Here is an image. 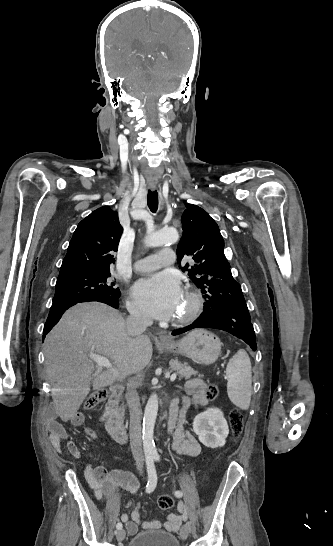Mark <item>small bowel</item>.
Masks as SVG:
<instances>
[{"label": "small bowel", "instance_id": "c3829d8e", "mask_svg": "<svg viewBox=\"0 0 333 546\" xmlns=\"http://www.w3.org/2000/svg\"><path fill=\"white\" fill-rule=\"evenodd\" d=\"M205 390V383L201 379L189 380L186 383V393L188 397L183 399V407L178 415L177 404L174 403L171 406V417L168 428L170 431L174 430L172 447L180 454L196 456L201 452L200 443L193 434L184 431L183 422L185 411L191 401L198 405H205L207 403L208 399L205 396ZM73 420L76 424H81L83 422V417L78 415ZM48 430L50 432V443L57 452H61L62 442L64 441L68 451L74 457H80L77 445L69 439L65 429L56 420L52 419L49 421ZM84 431L90 440L93 441L96 439V433L90 427H86ZM85 473L95 487L94 494L98 501L115 502L118 496V486L130 487L132 485L129 477L117 483L102 467H93L89 463L85 464ZM127 508H131V511L130 513H123L121 515V520L125 523L127 531L130 534H134L142 524L141 515L138 507L134 505L133 502H129ZM177 510L179 514H169L165 521L156 520L153 521L151 525L163 527L169 532H177L185 521V506L182 502L177 504Z\"/></svg>", "mask_w": 333, "mask_h": 546}]
</instances>
